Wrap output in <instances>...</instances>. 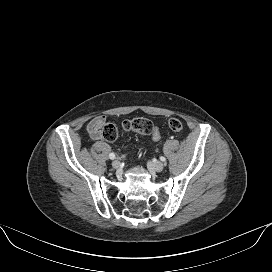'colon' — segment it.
Returning <instances> with one entry per match:
<instances>
[{
  "instance_id": "obj_1",
  "label": "colon",
  "mask_w": 272,
  "mask_h": 272,
  "mask_svg": "<svg viewBox=\"0 0 272 272\" xmlns=\"http://www.w3.org/2000/svg\"><path fill=\"white\" fill-rule=\"evenodd\" d=\"M168 126L172 131H180L183 128V123L178 118H170ZM124 131H135L142 135L151 136L155 141L161 139V134L158 128L152 121L146 118H133L122 123ZM103 138L108 142H113L118 138L119 130L116 125L108 123L103 128Z\"/></svg>"
}]
</instances>
